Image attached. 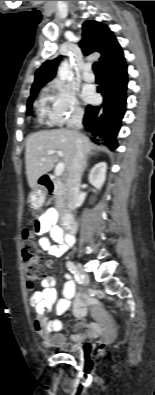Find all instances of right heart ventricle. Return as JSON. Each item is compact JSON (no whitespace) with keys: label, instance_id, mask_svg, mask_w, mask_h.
I'll use <instances>...</instances> for the list:
<instances>
[{"label":"right heart ventricle","instance_id":"e07e8e85","mask_svg":"<svg viewBox=\"0 0 155 395\" xmlns=\"http://www.w3.org/2000/svg\"><path fill=\"white\" fill-rule=\"evenodd\" d=\"M43 103H44V99H41L39 102V106H43Z\"/></svg>","mask_w":155,"mask_h":395}]
</instances>
